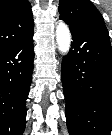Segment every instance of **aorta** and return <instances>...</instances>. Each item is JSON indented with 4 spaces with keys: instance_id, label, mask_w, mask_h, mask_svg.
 Instances as JSON below:
<instances>
[{
    "instance_id": "aorta-1",
    "label": "aorta",
    "mask_w": 112,
    "mask_h": 135,
    "mask_svg": "<svg viewBox=\"0 0 112 135\" xmlns=\"http://www.w3.org/2000/svg\"><path fill=\"white\" fill-rule=\"evenodd\" d=\"M56 43L62 55L69 52L71 45V33L65 22L60 21L56 27Z\"/></svg>"
}]
</instances>
